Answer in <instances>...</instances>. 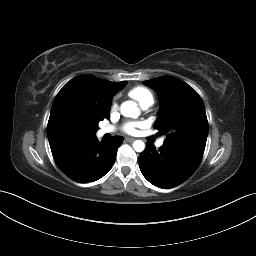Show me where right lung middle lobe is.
<instances>
[{
    "instance_id": "1",
    "label": "right lung middle lobe",
    "mask_w": 256,
    "mask_h": 256,
    "mask_svg": "<svg viewBox=\"0 0 256 256\" xmlns=\"http://www.w3.org/2000/svg\"><path fill=\"white\" fill-rule=\"evenodd\" d=\"M98 129V125L88 126L81 123H71L67 130L66 135L69 136H85V135H93L96 134Z\"/></svg>"
}]
</instances>
